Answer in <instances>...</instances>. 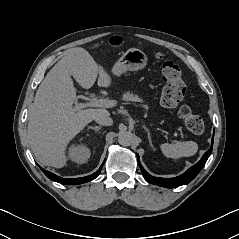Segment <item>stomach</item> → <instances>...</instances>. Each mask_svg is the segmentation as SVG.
Listing matches in <instances>:
<instances>
[{
  "label": "stomach",
  "mask_w": 239,
  "mask_h": 239,
  "mask_svg": "<svg viewBox=\"0 0 239 239\" xmlns=\"http://www.w3.org/2000/svg\"><path fill=\"white\" fill-rule=\"evenodd\" d=\"M148 61L147 55L140 49H128L120 59L114 64L112 73L115 76H120L126 71H135L146 66Z\"/></svg>",
  "instance_id": "0dacf381"
}]
</instances>
